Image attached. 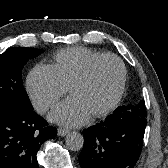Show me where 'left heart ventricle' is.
<instances>
[{
  "instance_id": "b2bd125f",
  "label": "left heart ventricle",
  "mask_w": 168,
  "mask_h": 168,
  "mask_svg": "<svg viewBox=\"0 0 168 168\" xmlns=\"http://www.w3.org/2000/svg\"><path fill=\"white\" fill-rule=\"evenodd\" d=\"M120 81V67L113 59L101 61L90 78L72 90V95L81 98L91 113L105 108L114 98Z\"/></svg>"
}]
</instances>
